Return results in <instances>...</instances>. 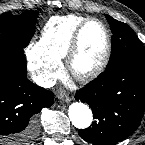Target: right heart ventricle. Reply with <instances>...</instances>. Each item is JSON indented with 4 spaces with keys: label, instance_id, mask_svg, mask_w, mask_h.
I'll return each instance as SVG.
<instances>
[{
    "label": "right heart ventricle",
    "instance_id": "e07e8e85",
    "mask_svg": "<svg viewBox=\"0 0 145 145\" xmlns=\"http://www.w3.org/2000/svg\"><path fill=\"white\" fill-rule=\"evenodd\" d=\"M86 19L75 14L52 17L41 31L38 49L59 61L65 58L77 27Z\"/></svg>",
    "mask_w": 145,
    "mask_h": 145
}]
</instances>
